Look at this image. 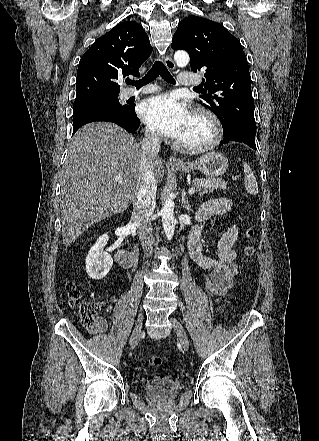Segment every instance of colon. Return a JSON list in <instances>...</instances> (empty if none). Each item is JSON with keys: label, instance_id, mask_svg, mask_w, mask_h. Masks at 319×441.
Here are the masks:
<instances>
[{"label": "colon", "instance_id": "obj_1", "mask_svg": "<svg viewBox=\"0 0 319 441\" xmlns=\"http://www.w3.org/2000/svg\"><path fill=\"white\" fill-rule=\"evenodd\" d=\"M245 236L247 243L244 247V255L247 259L248 264L252 262V257L254 255V247L251 244V240L254 236V231L249 228L245 231ZM68 298L71 307L74 309L78 315L81 323L86 327L93 326L95 322V316L99 310L98 305L84 300L81 293L76 289L73 283L67 285ZM162 364V358L159 356H151L149 358V365L153 368L160 367Z\"/></svg>", "mask_w": 319, "mask_h": 441}]
</instances>
